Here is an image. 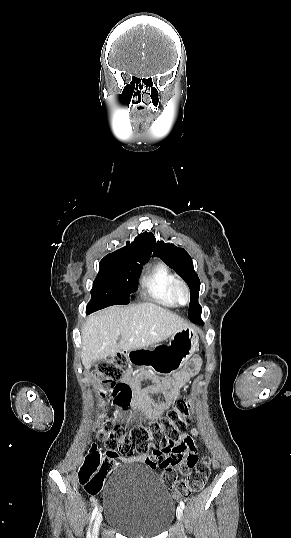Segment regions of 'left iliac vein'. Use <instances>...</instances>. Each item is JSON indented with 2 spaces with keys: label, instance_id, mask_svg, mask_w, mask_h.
Wrapping results in <instances>:
<instances>
[{
  "label": "left iliac vein",
  "instance_id": "obj_1",
  "mask_svg": "<svg viewBox=\"0 0 291 538\" xmlns=\"http://www.w3.org/2000/svg\"><path fill=\"white\" fill-rule=\"evenodd\" d=\"M176 515H177L178 520H179V521H182V519H183V510H182L181 507H178V508H177Z\"/></svg>",
  "mask_w": 291,
  "mask_h": 538
}]
</instances>
